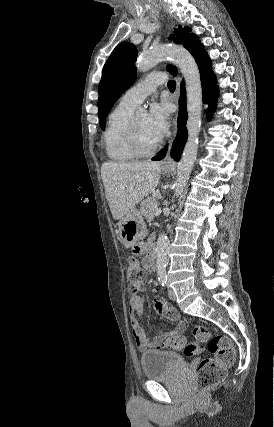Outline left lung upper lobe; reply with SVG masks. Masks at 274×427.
I'll list each match as a JSON object with an SVG mask.
<instances>
[{"instance_id": "obj_1", "label": "left lung upper lobe", "mask_w": 274, "mask_h": 427, "mask_svg": "<svg viewBox=\"0 0 274 427\" xmlns=\"http://www.w3.org/2000/svg\"><path fill=\"white\" fill-rule=\"evenodd\" d=\"M190 32L191 29L178 26L169 39L176 44H183L190 52L199 43L196 35ZM136 56L137 50L133 44L121 43L116 46L104 65L98 99L99 125L102 130L105 129L106 116L112 106L136 79ZM167 70L171 74H177V69L172 65H168Z\"/></svg>"}]
</instances>
